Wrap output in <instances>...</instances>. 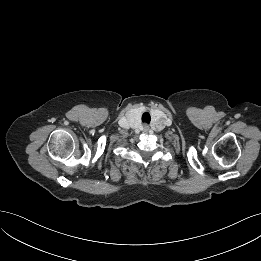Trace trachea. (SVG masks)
<instances>
[{"instance_id":"3493384b","label":"trachea","mask_w":261,"mask_h":261,"mask_svg":"<svg viewBox=\"0 0 261 261\" xmlns=\"http://www.w3.org/2000/svg\"><path fill=\"white\" fill-rule=\"evenodd\" d=\"M151 120L150 114L148 112H144L142 115V122L149 124Z\"/></svg>"}]
</instances>
